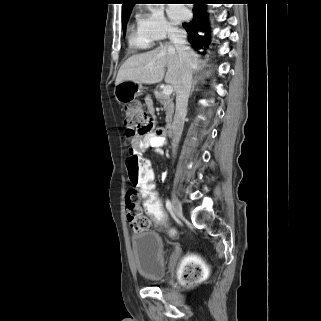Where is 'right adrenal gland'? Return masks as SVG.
Segmentation results:
<instances>
[{
	"instance_id": "obj_1",
	"label": "right adrenal gland",
	"mask_w": 321,
	"mask_h": 321,
	"mask_svg": "<svg viewBox=\"0 0 321 321\" xmlns=\"http://www.w3.org/2000/svg\"><path fill=\"white\" fill-rule=\"evenodd\" d=\"M198 84H199V80L198 79H193L189 96H191L194 91H200V89L198 87L195 88L196 85H198Z\"/></svg>"
}]
</instances>
